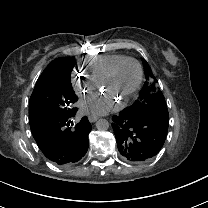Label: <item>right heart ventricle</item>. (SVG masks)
<instances>
[{"label":"right heart ventricle","mask_w":208,"mask_h":208,"mask_svg":"<svg viewBox=\"0 0 208 208\" xmlns=\"http://www.w3.org/2000/svg\"><path fill=\"white\" fill-rule=\"evenodd\" d=\"M122 57V55L118 54H105L89 59L87 65L90 68L93 80L98 83Z\"/></svg>","instance_id":"obj_1"}]
</instances>
